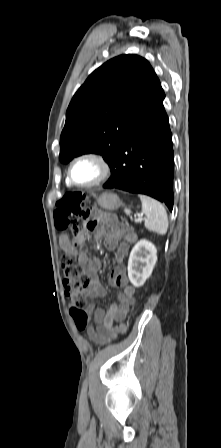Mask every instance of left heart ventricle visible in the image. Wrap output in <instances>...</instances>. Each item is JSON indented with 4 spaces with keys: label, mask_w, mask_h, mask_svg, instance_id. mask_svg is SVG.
I'll return each mask as SVG.
<instances>
[{
    "label": "left heart ventricle",
    "mask_w": 221,
    "mask_h": 448,
    "mask_svg": "<svg viewBox=\"0 0 221 448\" xmlns=\"http://www.w3.org/2000/svg\"><path fill=\"white\" fill-rule=\"evenodd\" d=\"M101 173L99 165L89 159L77 161L72 167V178L77 183L85 184L96 180Z\"/></svg>",
    "instance_id": "obj_1"
}]
</instances>
